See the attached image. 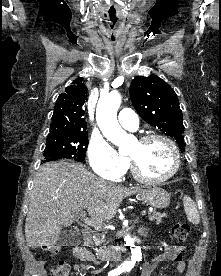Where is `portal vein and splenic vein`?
I'll return each mask as SVG.
<instances>
[{
	"instance_id": "1",
	"label": "portal vein and splenic vein",
	"mask_w": 221,
	"mask_h": 276,
	"mask_svg": "<svg viewBox=\"0 0 221 276\" xmlns=\"http://www.w3.org/2000/svg\"><path fill=\"white\" fill-rule=\"evenodd\" d=\"M140 214L142 215V216H145L146 215V211L145 210H142L141 212H140ZM78 217L81 219V220H83L84 221V223H86V224H88V225H91V226H96V224L97 223H95L94 221H92L91 219H88L87 217H86V212H81V213H79L78 214Z\"/></svg>"
}]
</instances>
